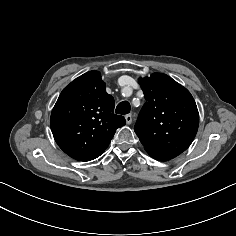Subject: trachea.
Listing matches in <instances>:
<instances>
[{
    "label": "trachea",
    "mask_w": 236,
    "mask_h": 236,
    "mask_svg": "<svg viewBox=\"0 0 236 236\" xmlns=\"http://www.w3.org/2000/svg\"><path fill=\"white\" fill-rule=\"evenodd\" d=\"M130 110H131V107H130L129 102L122 101L117 105L115 112L117 114L124 115V114H128L130 112Z\"/></svg>",
    "instance_id": "obj_1"
}]
</instances>
